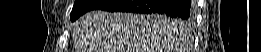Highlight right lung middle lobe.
I'll return each instance as SVG.
<instances>
[{"mask_svg": "<svg viewBox=\"0 0 261 52\" xmlns=\"http://www.w3.org/2000/svg\"><path fill=\"white\" fill-rule=\"evenodd\" d=\"M105 2L106 0H76L70 15L71 21H75L82 14L98 8ZM161 19L166 22L172 23L175 26H180V25L187 26L192 20V18L185 20L177 17H170L167 15L166 16L164 15V17H162Z\"/></svg>", "mask_w": 261, "mask_h": 52, "instance_id": "obj_1", "label": "right lung middle lobe"}]
</instances>
